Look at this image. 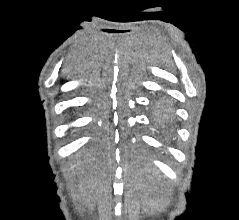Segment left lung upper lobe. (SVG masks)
Masks as SVG:
<instances>
[{
	"mask_svg": "<svg viewBox=\"0 0 239 220\" xmlns=\"http://www.w3.org/2000/svg\"><path fill=\"white\" fill-rule=\"evenodd\" d=\"M156 110L159 116L166 115L170 110V105L166 102H159L156 104Z\"/></svg>",
	"mask_w": 239,
	"mask_h": 220,
	"instance_id": "left-lung-upper-lobe-1",
	"label": "left lung upper lobe"
}]
</instances>
